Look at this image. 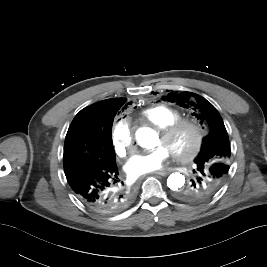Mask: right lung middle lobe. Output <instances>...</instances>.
<instances>
[{
  "label": "right lung middle lobe",
  "mask_w": 267,
  "mask_h": 267,
  "mask_svg": "<svg viewBox=\"0 0 267 267\" xmlns=\"http://www.w3.org/2000/svg\"><path fill=\"white\" fill-rule=\"evenodd\" d=\"M120 108L111 109L105 122L113 124L114 117ZM112 130V128H111ZM116 162L111 131L104 138L92 136L84 126L70 125L64 144L63 166L65 175L89 165Z\"/></svg>",
  "instance_id": "1"
}]
</instances>
